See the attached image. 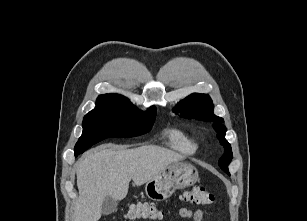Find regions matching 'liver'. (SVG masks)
<instances>
[{"mask_svg": "<svg viewBox=\"0 0 307 221\" xmlns=\"http://www.w3.org/2000/svg\"><path fill=\"white\" fill-rule=\"evenodd\" d=\"M183 159L175 151L152 145L133 149L100 146L86 152L76 164L79 198L74 221H98L106 197L122 200L131 179L140 186Z\"/></svg>", "mask_w": 307, "mask_h": 221, "instance_id": "1", "label": "liver"}]
</instances>
